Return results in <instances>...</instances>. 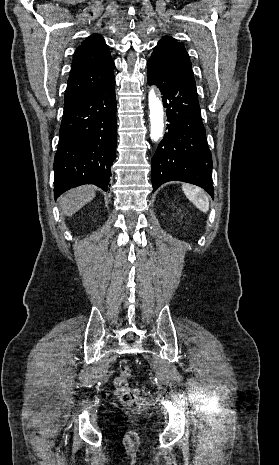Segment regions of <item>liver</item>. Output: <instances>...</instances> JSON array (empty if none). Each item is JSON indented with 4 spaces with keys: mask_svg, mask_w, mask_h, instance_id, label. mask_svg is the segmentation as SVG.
Segmentation results:
<instances>
[{
    "mask_svg": "<svg viewBox=\"0 0 279 465\" xmlns=\"http://www.w3.org/2000/svg\"><path fill=\"white\" fill-rule=\"evenodd\" d=\"M95 197V187L85 185L64 193L59 199V206L66 216H72Z\"/></svg>",
    "mask_w": 279,
    "mask_h": 465,
    "instance_id": "1",
    "label": "liver"
}]
</instances>
